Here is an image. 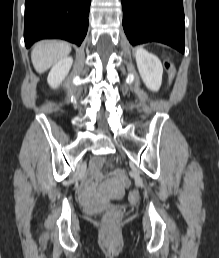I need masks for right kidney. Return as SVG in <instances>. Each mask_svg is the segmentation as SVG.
<instances>
[{
	"label": "right kidney",
	"instance_id": "1",
	"mask_svg": "<svg viewBox=\"0 0 219 258\" xmlns=\"http://www.w3.org/2000/svg\"><path fill=\"white\" fill-rule=\"evenodd\" d=\"M73 63L72 57H64L55 63L49 72L47 81L49 85L56 88L67 76Z\"/></svg>",
	"mask_w": 219,
	"mask_h": 258
}]
</instances>
